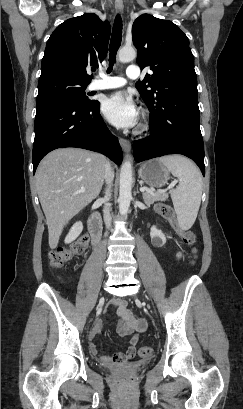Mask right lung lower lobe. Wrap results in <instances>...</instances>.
<instances>
[{"label": "right lung lower lobe", "mask_w": 243, "mask_h": 409, "mask_svg": "<svg viewBox=\"0 0 243 409\" xmlns=\"http://www.w3.org/2000/svg\"><path fill=\"white\" fill-rule=\"evenodd\" d=\"M99 105L96 100L88 104L49 100L36 106L33 174L47 153L63 147L96 151L121 164V146L101 118Z\"/></svg>", "instance_id": "1"}]
</instances>
